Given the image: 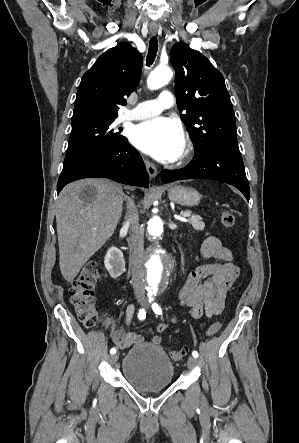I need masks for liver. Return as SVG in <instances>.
Returning <instances> with one entry per match:
<instances>
[{
    "label": "liver",
    "mask_w": 299,
    "mask_h": 443,
    "mask_svg": "<svg viewBox=\"0 0 299 443\" xmlns=\"http://www.w3.org/2000/svg\"><path fill=\"white\" fill-rule=\"evenodd\" d=\"M122 186L83 179L63 188L56 203L61 274L74 280L83 265L112 236L122 214Z\"/></svg>",
    "instance_id": "liver-1"
}]
</instances>
